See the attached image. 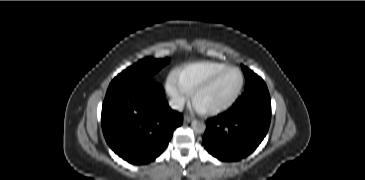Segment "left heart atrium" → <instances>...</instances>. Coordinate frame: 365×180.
<instances>
[{
    "mask_svg": "<svg viewBox=\"0 0 365 180\" xmlns=\"http://www.w3.org/2000/svg\"><path fill=\"white\" fill-rule=\"evenodd\" d=\"M195 108L197 109V110H201V108H199L196 104H195Z\"/></svg>",
    "mask_w": 365,
    "mask_h": 180,
    "instance_id": "39dd6f15",
    "label": "left heart atrium"
}]
</instances>
